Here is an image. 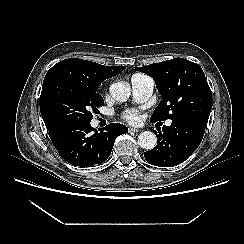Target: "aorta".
<instances>
[{"label": "aorta", "mask_w": 244, "mask_h": 244, "mask_svg": "<svg viewBox=\"0 0 244 244\" xmlns=\"http://www.w3.org/2000/svg\"><path fill=\"white\" fill-rule=\"evenodd\" d=\"M130 91L129 84L125 82L113 83L109 88L110 95L118 102H126L130 97ZM138 144L143 149L151 150L157 144V137L151 131H144L138 136Z\"/></svg>", "instance_id": "aorta-1"}]
</instances>
